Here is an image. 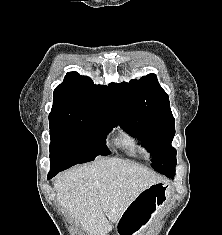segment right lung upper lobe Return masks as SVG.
Instances as JSON below:
<instances>
[{
  "label": "right lung upper lobe",
  "mask_w": 222,
  "mask_h": 235,
  "mask_svg": "<svg viewBox=\"0 0 222 235\" xmlns=\"http://www.w3.org/2000/svg\"><path fill=\"white\" fill-rule=\"evenodd\" d=\"M85 113L117 120L110 85H95L91 78L77 72H68L55 88L53 106L49 115Z\"/></svg>",
  "instance_id": "right-lung-upper-lobe-1"
}]
</instances>
